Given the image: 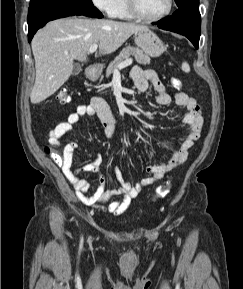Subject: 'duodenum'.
<instances>
[{
	"label": "duodenum",
	"mask_w": 243,
	"mask_h": 289,
	"mask_svg": "<svg viewBox=\"0 0 243 289\" xmlns=\"http://www.w3.org/2000/svg\"><path fill=\"white\" fill-rule=\"evenodd\" d=\"M98 72V67L97 66H90L88 68V75L89 76H95Z\"/></svg>",
	"instance_id": "1"
}]
</instances>
